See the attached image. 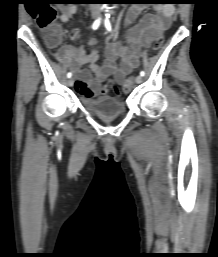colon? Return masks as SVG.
<instances>
[{"label": "colon", "mask_w": 218, "mask_h": 257, "mask_svg": "<svg viewBox=\"0 0 218 257\" xmlns=\"http://www.w3.org/2000/svg\"><path fill=\"white\" fill-rule=\"evenodd\" d=\"M25 10H33L32 15L35 17L39 28L44 32L46 42L51 48H55L60 41V29L55 23L56 10L52 5L44 7V5H25ZM162 45V38L155 40L153 49L158 50ZM101 94H104L105 98H122L123 89L125 92H129L133 87L132 79H128L123 89L115 79H106V82H102Z\"/></svg>", "instance_id": "obj_1"}]
</instances>
